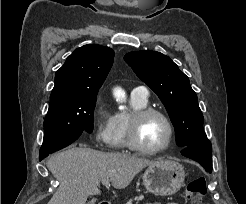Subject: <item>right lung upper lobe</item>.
Masks as SVG:
<instances>
[{"label":"right lung upper lobe","instance_id":"right-lung-upper-lobe-1","mask_svg":"<svg viewBox=\"0 0 246 204\" xmlns=\"http://www.w3.org/2000/svg\"><path fill=\"white\" fill-rule=\"evenodd\" d=\"M114 51L105 46H82L57 70L50 101L98 93L113 64Z\"/></svg>","mask_w":246,"mask_h":204}]
</instances>
